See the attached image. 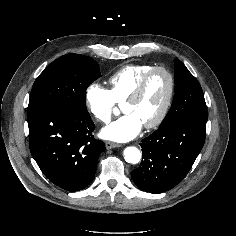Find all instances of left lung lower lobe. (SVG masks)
Returning a JSON list of instances; mask_svg holds the SVG:
<instances>
[{"mask_svg":"<svg viewBox=\"0 0 236 236\" xmlns=\"http://www.w3.org/2000/svg\"><path fill=\"white\" fill-rule=\"evenodd\" d=\"M206 122L180 120L159 127L140 143L142 161L131 172L143 191L162 193L189 172L205 141Z\"/></svg>","mask_w":236,"mask_h":236,"instance_id":"obj_1","label":"left lung lower lobe"}]
</instances>
